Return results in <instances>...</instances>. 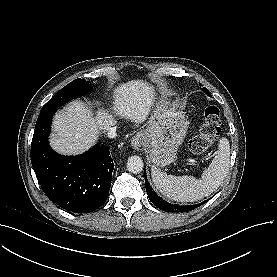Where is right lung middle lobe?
I'll return each mask as SVG.
<instances>
[{
    "label": "right lung middle lobe",
    "instance_id": "1",
    "mask_svg": "<svg viewBox=\"0 0 277 277\" xmlns=\"http://www.w3.org/2000/svg\"><path fill=\"white\" fill-rule=\"evenodd\" d=\"M91 90L90 84L82 79H76L63 87L54 97H52L41 109H57L67 101L81 97ZM40 111V112H41Z\"/></svg>",
    "mask_w": 277,
    "mask_h": 277
}]
</instances>
